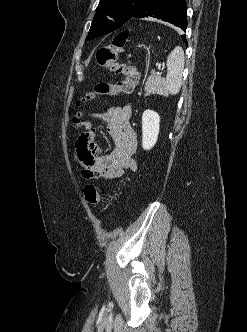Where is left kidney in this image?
Returning <instances> with one entry per match:
<instances>
[{
    "mask_svg": "<svg viewBox=\"0 0 247 332\" xmlns=\"http://www.w3.org/2000/svg\"><path fill=\"white\" fill-rule=\"evenodd\" d=\"M160 116L153 110H145L142 115V147L150 150L157 142Z\"/></svg>",
    "mask_w": 247,
    "mask_h": 332,
    "instance_id": "obj_1",
    "label": "left kidney"
}]
</instances>
